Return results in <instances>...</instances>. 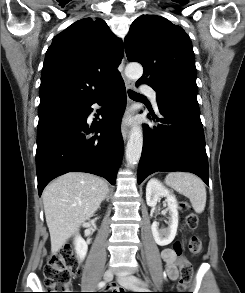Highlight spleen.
<instances>
[{
    "instance_id": "obj_1",
    "label": "spleen",
    "mask_w": 245,
    "mask_h": 293,
    "mask_svg": "<svg viewBox=\"0 0 245 293\" xmlns=\"http://www.w3.org/2000/svg\"><path fill=\"white\" fill-rule=\"evenodd\" d=\"M165 183L189 198L196 213H202L206 205V188L197 176L186 172H172L165 178Z\"/></svg>"
}]
</instances>
